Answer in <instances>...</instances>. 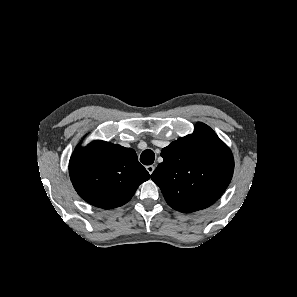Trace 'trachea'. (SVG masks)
<instances>
[{
  "label": "trachea",
  "mask_w": 297,
  "mask_h": 297,
  "mask_svg": "<svg viewBox=\"0 0 297 297\" xmlns=\"http://www.w3.org/2000/svg\"><path fill=\"white\" fill-rule=\"evenodd\" d=\"M155 160V154L152 150L146 149L142 152L140 156V161L144 165H151Z\"/></svg>",
  "instance_id": "1"
}]
</instances>
